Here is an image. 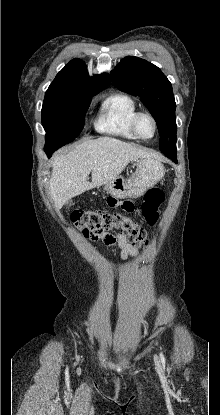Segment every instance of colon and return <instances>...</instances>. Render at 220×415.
<instances>
[{"label": "colon", "mask_w": 220, "mask_h": 415, "mask_svg": "<svg viewBox=\"0 0 220 415\" xmlns=\"http://www.w3.org/2000/svg\"><path fill=\"white\" fill-rule=\"evenodd\" d=\"M163 201V195L157 188L149 189L142 203V216L150 226L156 224L159 218V207ZM123 210L131 209L133 204L124 200L119 203ZM70 222L73 226L83 228L86 232L98 235L111 230L122 232L135 247L148 244L146 230L133 219L117 211L84 210L78 209L70 214Z\"/></svg>", "instance_id": "5ec220e1"}]
</instances>
